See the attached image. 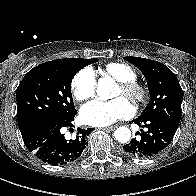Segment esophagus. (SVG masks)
Wrapping results in <instances>:
<instances>
[{"mask_svg": "<svg viewBox=\"0 0 196 196\" xmlns=\"http://www.w3.org/2000/svg\"><path fill=\"white\" fill-rule=\"evenodd\" d=\"M117 126H109V127H106L105 129L107 130H114Z\"/></svg>", "mask_w": 196, "mask_h": 196, "instance_id": "esophagus-1", "label": "esophagus"}]
</instances>
